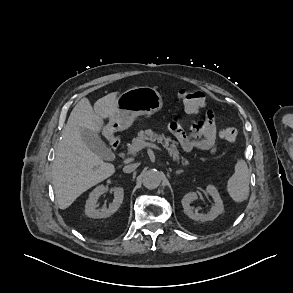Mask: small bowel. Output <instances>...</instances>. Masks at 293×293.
<instances>
[{
    "mask_svg": "<svg viewBox=\"0 0 293 293\" xmlns=\"http://www.w3.org/2000/svg\"><path fill=\"white\" fill-rule=\"evenodd\" d=\"M169 130L183 152L200 149L213 154L217 149V127L214 113L211 110L207 111L204 116L197 118L189 132L184 131L177 119L169 123Z\"/></svg>",
    "mask_w": 293,
    "mask_h": 293,
    "instance_id": "obj_1",
    "label": "small bowel"
}]
</instances>
